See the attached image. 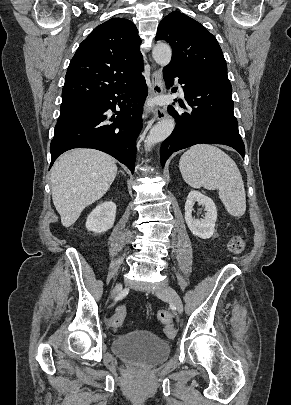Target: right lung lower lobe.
<instances>
[{
    "instance_id": "right-lung-lower-lobe-1",
    "label": "right lung lower lobe",
    "mask_w": 291,
    "mask_h": 405,
    "mask_svg": "<svg viewBox=\"0 0 291 405\" xmlns=\"http://www.w3.org/2000/svg\"><path fill=\"white\" fill-rule=\"evenodd\" d=\"M147 93L145 79L138 73L94 98L91 106L57 122L50 145L51 166L69 149L93 148L115 157L134 173L136 140L142 129L141 104ZM116 105L120 111L109 118L107 110L115 111Z\"/></svg>"
}]
</instances>
